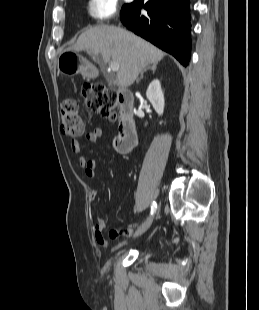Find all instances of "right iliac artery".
I'll return each mask as SVG.
<instances>
[{
  "label": "right iliac artery",
  "instance_id": "82829eb1",
  "mask_svg": "<svg viewBox=\"0 0 259 310\" xmlns=\"http://www.w3.org/2000/svg\"><path fill=\"white\" fill-rule=\"evenodd\" d=\"M157 204L156 202H152L151 204V215H153L156 212Z\"/></svg>",
  "mask_w": 259,
  "mask_h": 310
}]
</instances>
